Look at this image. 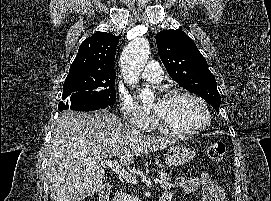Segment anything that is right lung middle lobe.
<instances>
[{
  "instance_id": "obj_1",
  "label": "right lung middle lobe",
  "mask_w": 271,
  "mask_h": 201,
  "mask_svg": "<svg viewBox=\"0 0 271 201\" xmlns=\"http://www.w3.org/2000/svg\"><path fill=\"white\" fill-rule=\"evenodd\" d=\"M115 74L69 73L63 86V101L82 100L87 104L112 105L116 101Z\"/></svg>"
}]
</instances>
